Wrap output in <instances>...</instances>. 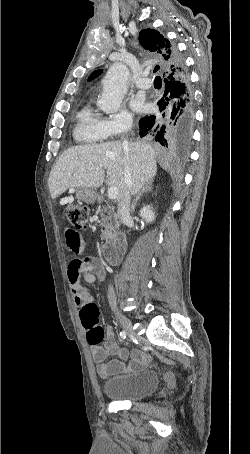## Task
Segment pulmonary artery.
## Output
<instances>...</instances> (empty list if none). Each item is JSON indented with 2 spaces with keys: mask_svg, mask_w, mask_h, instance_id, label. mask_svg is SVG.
Masks as SVG:
<instances>
[{
  "mask_svg": "<svg viewBox=\"0 0 250 454\" xmlns=\"http://www.w3.org/2000/svg\"><path fill=\"white\" fill-rule=\"evenodd\" d=\"M135 85L139 89H147L152 85V81L150 78L145 77V74H143L142 77L136 80Z\"/></svg>",
  "mask_w": 250,
  "mask_h": 454,
  "instance_id": "obj_1",
  "label": "pulmonary artery"
}]
</instances>
